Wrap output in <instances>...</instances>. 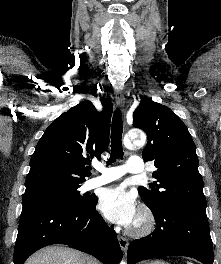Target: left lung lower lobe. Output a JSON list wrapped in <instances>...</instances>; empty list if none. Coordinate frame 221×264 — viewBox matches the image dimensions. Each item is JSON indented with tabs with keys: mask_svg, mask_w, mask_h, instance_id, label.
Segmentation results:
<instances>
[{
	"mask_svg": "<svg viewBox=\"0 0 221 264\" xmlns=\"http://www.w3.org/2000/svg\"><path fill=\"white\" fill-rule=\"evenodd\" d=\"M155 230L128 247V264L164 256H187L213 264L206 208L171 206L152 211Z\"/></svg>",
	"mask_w": 221,
	"mask_h": 264,
	"instance_id": "left-lung-lower-lobe-1",
	"label": "left lung lower lobe"
}]
</instances>
